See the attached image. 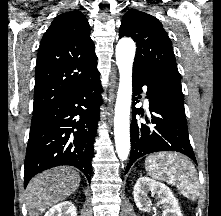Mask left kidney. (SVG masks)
I'll use <instances>...</instances> for the list:
<instances>
[{"mask_svg":"<svg viewBox=\"0 0 221 216\" xmlns=\"http://www.w3.org/2000/svg\"><path fill=\"white\" fill-rule=\"evenodd\" d=\"M148 191L160 198L159 203L164 207L162 216H183L172 191L165 184L146 176L140 177L134 186V201L139 210L148 213L151 211V202L147 197ZM153 216H156V214Z\"/></svg>","mask_w":221,"mask_h":216,"instance_id":"5707ae66","label":"left kidney"}]
</instances>
